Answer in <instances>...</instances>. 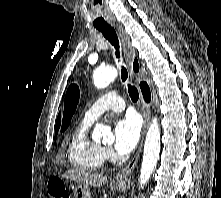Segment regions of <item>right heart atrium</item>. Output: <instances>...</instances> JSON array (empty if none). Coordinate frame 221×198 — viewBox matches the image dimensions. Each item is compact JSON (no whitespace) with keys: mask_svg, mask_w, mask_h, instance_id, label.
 Returning <instances> with one entry per match:
<instances>
[{"mask_svg":"<svg viewBox=\"0 0 221 198\" xmlns=\"http://www.w3.org/2000/svg\"><path fill=\"white\" fill-rule=\"evenodd\" d=\"M103 153H104L105 159H110L113 157L112 151L109 148H103Z\"/></svg>","mask_w":221,"mask_h":198,"instance_id":"1","label":"right heart atrium"}]
</instances>
